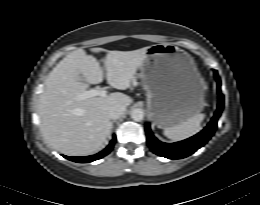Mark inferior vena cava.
<instances>
[{
    "label": "inferior vena cava",
    "instance_id": "obj_1",
    "mask_svg": "<svg viewBox=\"0 0 260 205\" xmlns=\"http://www.w3.org/2000/svg\"><path fill=\"white\" fill-rule=\"evenodd\" d=\"M125 109L126 108L121 105L113 106L109 109L108 116L110 119H118L123 115Z\"/></svg>",
    "mask_w": 260,
    "mask_h": 205
}]
</instances>
